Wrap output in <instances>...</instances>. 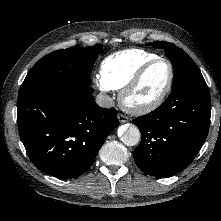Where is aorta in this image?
I'll return each instance as SVG.
<instances>
[{"instance_id": "762f6f07", "label": "aorta", "mask_w": 221, "mask_h": 221, "mask_svg": "<svg viewBox=\"0 0 221 221\" xmlns=\"http://www.w3.org/2000/svg\"><path fill=\"white\" fill-rule=\"evenodd\" d=\"M120 140L127 146H135L141 140V133L134 124H125L118 129Z\"/></svg>"}]
</instances>
